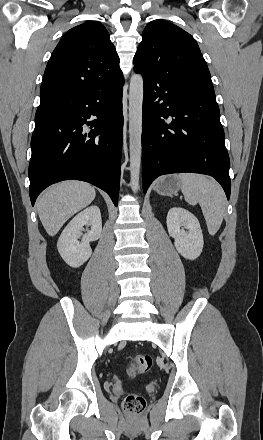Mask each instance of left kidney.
<instances>
[{
	"label": "left kidney",
	"instance_id": "obj_1",
	"mask_svg": "<svg viewBox=\"0 0 263 440\" xmlns=\"http://www.w3.org/2000/svg\"><path fill=\"white\" fill-rule=\"evenodd\" d=\"M167 229L180 255L189 260L199 257L204 244L203 234L198 219L191 212L181 207L171 208L167 214Z\"/></svg>",
	"mask_w": 263,
	"mask_h": 440
}]
</instances>
